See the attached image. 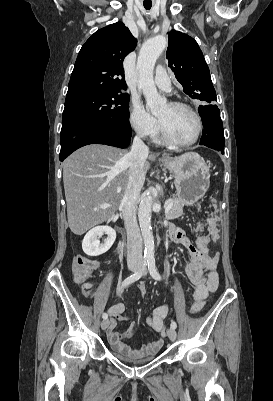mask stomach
Listing matches in <instances>:
<instances>
[{
	"instance_id": "stomach-1",
	"label": "stomach",
	"mask_w": 273,
	"mask_h": 401,
	"mask_svg": "<svg viewBox=\"0 0 273 401\" xmlns=\"http://www.w3.org/2000/svg\"><path fill=\"white\" fill-rule=\"evenodd\" d=\"M162 164L174 174L176 196L182 205H194L210 186L207 162L198 152H184L181 156H163Z\"/></svg>"
}]
</instances>
